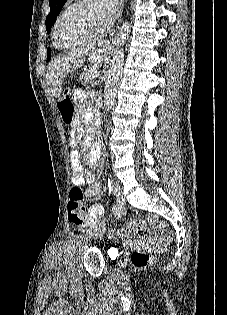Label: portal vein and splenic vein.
<instances>
[{"mask_svg": "<svg viewBox=\"0 0 227 315\" xmlns=\"http://www.w3.org/2000/svg\"><path fill=\"white\" fill-rule=\"evenodd\" d=\"M98 76H99V73L97 71H95L93 77L96 78Z\"/></svg>", "mask_w": 227, "mask_h": 315, "instance_id": "18ae733b", "label": "portal vein and splenic vein"}]
</instances>
